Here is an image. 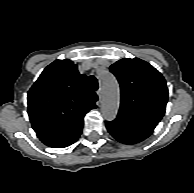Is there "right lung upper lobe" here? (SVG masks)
<instances>
[{"mask_svg":"<svg viewBox=\"0 0 194 193\" xmlns=\"http://www.w3.org/2000/svg\"><path fill=\"white\" fill-rule=\"evenodd\" d=\"M72 61L48 65L28 92V115L41 139L69 129L96 108L98 97Z\"/></svg>","mask_w":194,"mask_h":193,"instance_id":"right-lung-upper-lobe-1","label":"right lung upper lobe"}]
</instances>
